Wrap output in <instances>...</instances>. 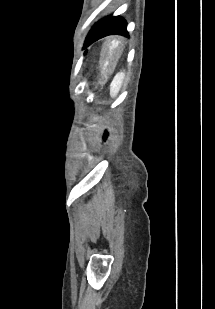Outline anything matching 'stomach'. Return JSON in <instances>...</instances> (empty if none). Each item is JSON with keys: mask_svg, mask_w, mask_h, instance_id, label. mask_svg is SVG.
<instances>
[{"mask_svg": "<svg viewBox=\"0 0 215 309\" xmlns=\"http://www.w3.org/2000/svg\"><path fill=\"white\" fill-rule=\"evenodd\" d=\"M119 44L120 42L116 39L114 40H109L107 46H108V49H109V54H110V57L111 55L115 54L116 52V49L119 48ZM109 65V61L107 60L105 63H104V67H103V70H107V66Z\"/></svg>", "mask_w": 215, "mask_h": 309, "instance_id": "0dacf381", "label": "stomach"}]
</instances>
